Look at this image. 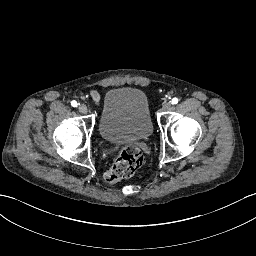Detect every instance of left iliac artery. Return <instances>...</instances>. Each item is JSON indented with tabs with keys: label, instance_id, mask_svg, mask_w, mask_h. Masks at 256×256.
<instances>
[{
	"label": "left iliac artery",
	"instance_id": "obj_1",
	"mask_svg": "<svg viewBox=\"0 0 256 256\" xmlns=\"http://www.w3.org/2000/svg\"><path fill=\"white\" fill-rule=\"evenodd\" d=\"M172 104H177L178 103V98H173L172 101H171Z\"/></svg>",
	"mask_w": 256,
	"mask_h": 256
}]
</instances>
